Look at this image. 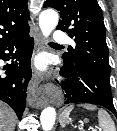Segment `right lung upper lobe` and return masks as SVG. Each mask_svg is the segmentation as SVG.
<instances>
[{"instance_id":"obj_1","label":"right lung upper lobe","mask_w":117,"mask_h":131,"mask_svg":"<svg viewBox=\"0 0 117 131\" xmlns=\"http://www.w3.org/2000/svg\"><path fill=\"white\" fill-rule=\"evenodd\" d=\"M27 0H0V45L30 30Z\"/></svg>"}]
</instances>
